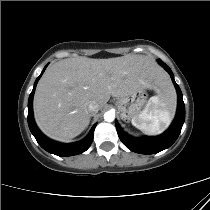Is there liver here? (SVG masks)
I'll list each match as a JSON object with an SVG mask.
<instances>
[{"mask_svg": "<svg viewBox=\"0 0 210 210\" xmlns=\"http://www.w3.org/2000/svg\"><path fill=\"white\" fill-rule=\"evenodd\" d=\"M145 89L172 93L167 74L147 56L63 59L41 77L34 95V117L45 135L67 142L87 127L90 102L102 109L111 96L122 98Z\"/></svg>", "mask_w": 210, "mask_h": 210, "instance_id": "6515ba94", "label": "liver"}]
</instances>
